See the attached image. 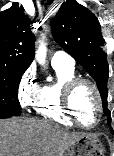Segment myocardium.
Returning a JSON list of instances; mask_svg holds the SVG:
<instances>
[{
  "mask_svg": "<svg viewBox=\"0 0 114 156\" xmlns=\"http://www.w3.org/2000/svg\"><path fill=\"white\" fill-rule=\"evenodd\" d=\"M83 84L88 85L93 90L97 102L96 118L91 125H85L81 122L72 105V98L74 92L79 86ZM62 106L66 114L75 124L86 129L95 127L99 123L103 112V101L97 84L94 81L85 77H74L64 85L63 93H62Z\"/></svg>",
  "mask_w": 114,
  "mask_h": 156,
  "instance_id": "1",
  "label": "myocardium"
}]
</instances>
